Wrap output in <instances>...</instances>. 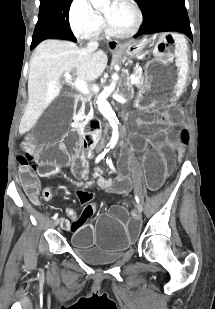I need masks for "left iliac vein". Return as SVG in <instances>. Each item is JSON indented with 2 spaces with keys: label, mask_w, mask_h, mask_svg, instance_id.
<instances>
[{
  "label": "left iliac vein",
  "mask_w": 215,
  "mask_h": 309,
  "mask_svg": "<svg viewBox=\"0 0 215 309\" xmlns=\"http://www.w3.org/2000/svg\"><path fill=\"white\" fill-rule=\"evenodd\" d=\"M141 210H140V208L137 206V209L135 210V213H138L139 215L141 214Z\"/></svg>",
  "instance_id": "obj_1"
}]
</instances>
